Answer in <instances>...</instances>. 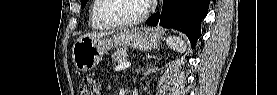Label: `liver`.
I'll return each mask as SVG.
<instances>
[{
  "mask_svg": "<svg viewBox=\"0 0 277 95\" xmlns=\"http://www.w3.org/2000/svg\"><path fill=\"white\" fill-rule=\"evenodd\" d=\"M108 34L110 33H91V34L84 35V37H90V38L96 39V38L105 37Z\"/></svg>",
  "mask_w": 277,
  "mask_h": 95,
  "instance_id": "1",
  "label": "liver"
}]
</instances>
